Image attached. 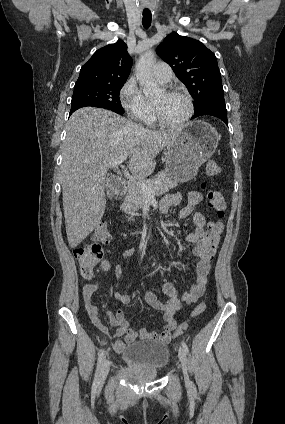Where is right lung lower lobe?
Returning <instances> with one entry per match:
<instances>
[{
  "mask_svg": "<svg viewBox=\"0 0 285 424\" xmlns=\"http://www.w3.org/2000/svg\"><path fill=\"white\" fill-rule=\"evenodd\" d=\"M86 106H91V105H87V104H77V105H72L71 106V111H70V114L69 115H71L74 111H76L77 109H79V108H82V107H86ZM94 107V106H93ZM115 112V111H114ZM116 113H118V112H116ZM118 114H123V113H118Z\"/></svg>",
  "mask_w": 285,
  "mask_h": 424,
  "instance_id": "1",
  "label": "right lung lower lobe"
}]
</instances>
